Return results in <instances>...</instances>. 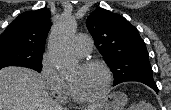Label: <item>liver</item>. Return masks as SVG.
Instances as JSON below:
<instances>
[{"mask_svg": "<svg viewBox=\"0 0 171 110\" xmlns=\"http://www.w3.org/2000/svg\"><path fill=\"white\" fill-rule=\"evenodd\" d=\"M99 104L90 106L93 110ZM0 110H64L46 90V83L36 71L24 67L0 70Z\"/></svg>", "mask_w": 171, "mask_h": 110, "instance_id": "1", "label": "liver"}]
</instances>
